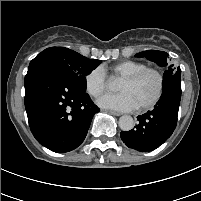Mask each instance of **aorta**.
<instances>
[{"mask_svg":"<svg viewBox=\"0 0 201 201\" xmlns=\"http://www.w3.org/2000/svg\"><path fill=\"white\" fill-rule=\"evenodd\" d=\"M116 82L115 81H110L108 83V88L110 90H115L116 89ZM119 127L121 128V130L123 131H130L131 129H133L134 127V120L131 116L129 115H124V116H121L119 118Z\"/></svg>","mask_w":201,"mask_h":201,"instance_id":"aorta-1","label":"aorta"}]
</instances>
